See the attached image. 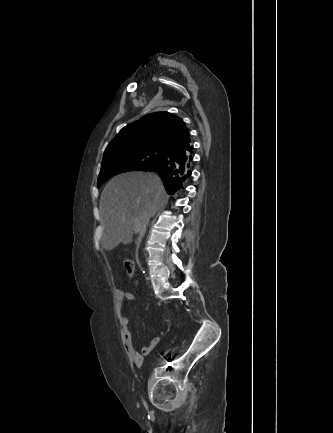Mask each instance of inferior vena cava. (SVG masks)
Returning <instances> with one entry per match:
<instances>
[{
    "mask_svg": "<svg viewBox=\"0 0 333 433\" xmlns=\"http://www.w3.org/2000/svg\"><path fill=\"white\" fill-rule=\"evenodd\" d=\"M149 219L147 218V220L145 221V223L143 224V227L141 228V233L140 236H143L145 234L146 231V227H147V223H148Z\"/></svg>",
    "mask_w": 333,
    "mask_h": 433,
    "instance_id": "602c4592",
    "label": "inferior vena cava"
}]
</instances>
